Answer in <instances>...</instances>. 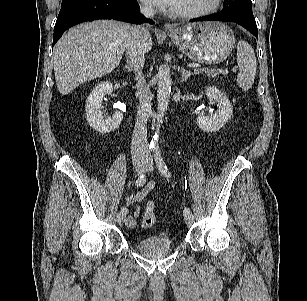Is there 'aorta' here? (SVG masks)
I'll use <instances>...</instances> for the list:
<instances>
[{"label": "aorta", "instance_id": "aorta-1", "mask_svg": "<svg viewBox=\"0 0 307 301\" xmlns=\"http://www.w3.org/2000/svg\"><path fill=\"white\" fill-rule=\"evenodd\" d=\"M157 81H158V90H157V129L154 133V136L151 140V145L156 147L159 141V127L162 123L164 114L167 110L170 93H171V85L172 79L170 75V69L166 65H162L157 73Z\"/></svg>", "mask_w": 307, "mask_h": 301}]
</instances>
